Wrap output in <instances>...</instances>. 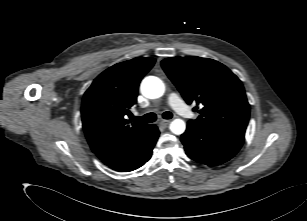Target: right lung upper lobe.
Instances as JSON below:
<instances>
[{"instance_id":"right-lung-upper-lobe-1","label":"right lung upper lobe","mask_w":307,"mask_h":221,"mask_svg":"<svg viewBox=\"0 0 307 221\" xmlns=\"http://www.w3.org/2000/svg\"><path fill=\"white\" fill-rule=\"evenodd\" d=\"M154 63V58L141 57L115 64L102 72L84 94V132L92 151L105 164L130 147L150 126H128L125 115L136 103L139 83Z\"/></svg>"}]
</instances>
